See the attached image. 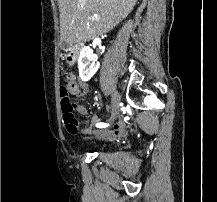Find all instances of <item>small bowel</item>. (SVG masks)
<instances>
[{
    "instance_id": "c3829d8e",
    "label": "small bowel",
    "mask_w": 217,
    "mask_h": 202,
    "mask_svg": "<svg viewBox=\"0 0 217 202\" xmlns=\"http://www.w3.org/2000/svg\"><path fill=\"white\" fill-rule=\"evenodd\" d=\"M68 88H74V94H76L79 99L85 96L89 91L87 85L75 83L74 81L68 83ZM77 112L81 116H86L89 113V109L85 106L78 105ZM92 120L96 122L98 120V117L94 115L92 117ZM127 135L128 131L125 128L124 122L119 121L115 124L113 130L105 133H97L96 137L107 140H119L127 137Z\"/></svg>"
}]
</instances>
